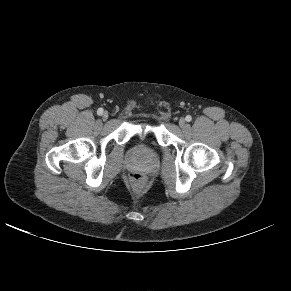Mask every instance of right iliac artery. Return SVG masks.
I'll list each match as a JSON object with an SVG mask.
<instances>
[{
  "instance_id": "obj_1",
  "label": "right iliac artery",
  "mask_w": 291,
  "mask_h": 291,
  "mask_svg": "<svg viewBox=\"0 0 291 291\" xmlns=\"http://www.w3.org/2000/svg\"><path fill=\"white\" fill-rule=\"evenodd\" d=\"M102 113H103V109L102 108H99L98 111H97V114L98 115H102Z\"/></svg>"
}]
</instances>
